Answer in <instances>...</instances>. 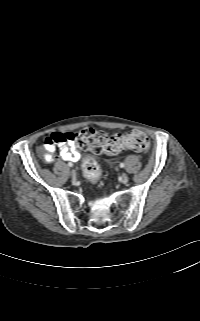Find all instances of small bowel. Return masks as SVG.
Masks as SVG:
<instances>
[{"label": "small bowel", "mask_w": 200, "mask_h": 321, "mask_svg": "<svg viewBox=\"0 0 200 321\" xmlns=\"http://www.w3.org/2000/svg\"><path fill=\"white\" fill-rule=\"evenodd\" d=\"M79 149L74 134L55 132L46 138L40 152L48 163L54 162L58 157L75 162L80 157Z\"/></svg>", "instance_id": "obj_1"}]
</instances>
